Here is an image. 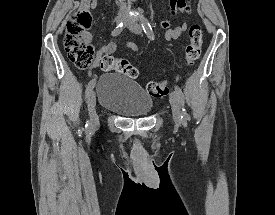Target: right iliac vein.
Segmentation results:
<instances>
[{"instance_id":"obj_1","label":"right iliac vein","mask_w":275,"mask_h":215,"mask_svg":"<svg viewBox=\"0 0 275 215\" xmlns=\"http://www.w3.org/2000/svg\"><path fill=\"white\" fill-rule=\"evenodd\" d=\"M122 17L116 18V23L122 21ZM96 95L95 92L92 90L89 97H88V111L90 115V125L96 127L99 123V117L96 112Z\"/></svg>"}]
</instances>
